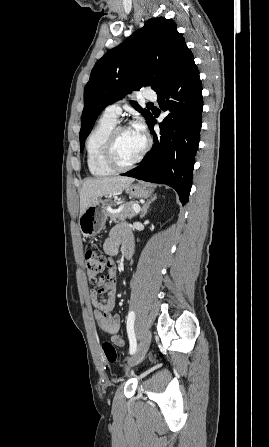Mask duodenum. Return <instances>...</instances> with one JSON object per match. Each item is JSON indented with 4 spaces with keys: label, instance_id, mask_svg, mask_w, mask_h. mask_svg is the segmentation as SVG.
I'll return each instance as SVG.
<instances>
[{
    "label": "duodenum",
    "instance_id": "obj_1",
    "mask_svg": "<svg viewBox=\"0 0 269 447\" xmlns=\"http://www.w3.org/2000/svg\"><path fill=\"white\" fill-rule=\"evenodd\" d=\"M124 254H125V257L129 259L132 255V252L130 250H127L124 252Z\"/></svg>",
    "mask_w": 269,
    "mask_h": 447
}]
</instances>
